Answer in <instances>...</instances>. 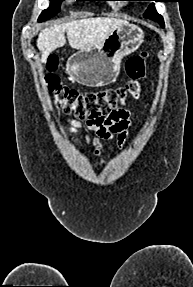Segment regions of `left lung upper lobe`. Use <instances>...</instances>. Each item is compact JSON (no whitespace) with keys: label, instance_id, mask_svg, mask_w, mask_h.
I'll use <instances>...</instances> for the list:
<instances>
[{"label":"left lung upper lobe","instance_id":"obj_1","mask_svg":"<svg viewBox=\"0 0 193 287\" xmlns=\"http://www.w3.org/2000/svg\"><path fill=\"white\" fill-rule=\"evenodd\" d=\"M150 1L158 2L159 0H150ZM144 17L154 20L158 22L162 27H164L163 17L157 13L154 4L149 6V8L146 10L144 14Z\"/></svg>","mask_w":193,"mask_h":287}]
</instances>
